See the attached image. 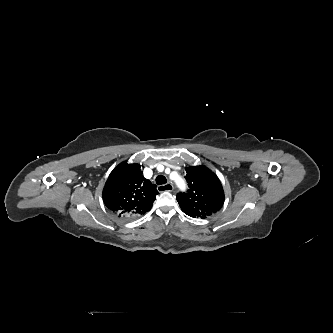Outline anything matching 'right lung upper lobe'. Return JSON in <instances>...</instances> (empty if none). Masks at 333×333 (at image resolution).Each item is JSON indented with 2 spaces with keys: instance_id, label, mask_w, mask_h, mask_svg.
<instances>
[{
  "instance_id": "1",
  "label": "right lung upper lobe",
  "mask_w": 333,
  "mask_h": 333,
  "mask_svg": "<svg viewBox=\"0 0 333 333\" xmlns=\"http://www.w3.org/2000/svg\"><path fill=\"white\" fill-rule=\"evenodd\" d=\"M157 194L156 185L142 175L141 165L124 161L109 175L102 196L110 211L125 217L150 211Z\"/></svg>"
}]
</instances>
